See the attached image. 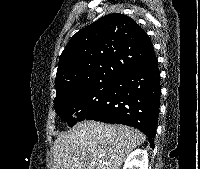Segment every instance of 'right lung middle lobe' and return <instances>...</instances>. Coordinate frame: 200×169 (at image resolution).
Instances as JSON below:
<instances>
[{"label": "right lung middle lobe", "mask_w": 200, "mask_h": 169, "mask_svg": "<svg viewBox=\"0 0 200 169\" xmlns=\"http://www.w3.org/2000/svg\"><path fill=\"white\" fill-rule=\"evenodd\" d=\"M116 79L96 81L78 92L54 101L59 117L69 126L86 119L105 101Z\"/></svg>", "instance_id": "1"}]
</instances>
